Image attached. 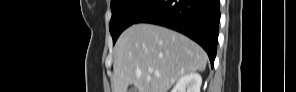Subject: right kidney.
Masks as SVG:
<instances>
[{
    "instance_id": "obj_1",
    "label": "right kidney",
    "mask_w": 296,
    "mask_h": 92,
    "mask_svg": "<svg viewBox=\"0 0 296 92\" xmlns=\"http://www.w3.org/2000/svg\"><path fill=\"white\" fill-rule=\"evenodd\" d=\"M202 77L198 73H189L181 77L171 92H200Z\"/></svg>"
}]
</instances>
